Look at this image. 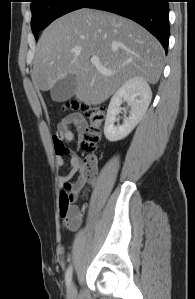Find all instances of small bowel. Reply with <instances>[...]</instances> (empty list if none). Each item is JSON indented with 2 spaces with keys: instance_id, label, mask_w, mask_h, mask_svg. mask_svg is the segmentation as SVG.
<instances>
[{
  "instance_id": "small-bowel-1",
  "label": "small bowel",
  "mask_w": 195,
  "mask_h": 299,
  "mask_svg": "<svg viewBox=\"0 0 195 299\" xmlns=\"http://www.w3.org/2000/svg\"><path fill=\"white\" fill-rule=\"evenodd\" d=\"M75 128L78 133L79 143L83 138V134L86 130L87 124L84 117L80 114H71L61 120L58 126V133L54 137V145L56 149V162L59 167L64 165V157H70V169L66 174L60 175L58 177L59 186L61 188H65L68 192L70 181L79 171L82 166V161L79 158L77 151L72 150L70 148L65 147V143H70L74 140V132L72 128ZM91 165L95 167V160L93 159ZM79 179L77 182H79ZM63 193V192H62ZM62 221L64 226L69 230H77L83 221V216L80 212H78L77 216L72 217H62Z\"/></svg>"
}]
</instances>
